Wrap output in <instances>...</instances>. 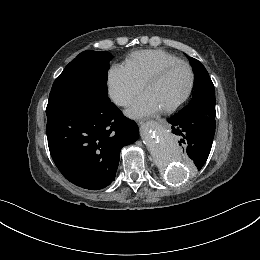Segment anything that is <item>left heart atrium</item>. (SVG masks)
I'll return each mask as SVG.
<instances>
[{
    "instance_id": "obj_1",
    "label": "left heart atrium",
    "mask_w": 260,
    "mask_h": 260,
    "mask_svg": "<svg viewBox=\"0 0 260 260\" xmlns=\"http://www.w3.org/2000/svg\"><path fill=\"white\" fill-rule=\"evenodd\" d=\"M162 109L159 104L148 94L140 96L128 110L129 115L134 117L148 116Z\"/></svg>"
}]
</instances>
